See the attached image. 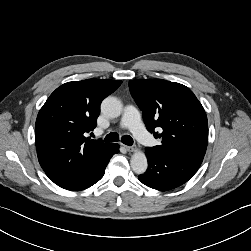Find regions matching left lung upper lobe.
<instances>
[{"label": "left lung upper lobe", "mask_w": 251, "mask_h": 251, "mask_svg": "<svg viewBox=\"0 0 251 251\" xmlns=\"http://www.w3.org/2000/svg\"><path fill=\"white\" fill-rule=\"evenodd\" d=\"M129 89L142 110L147 130L161 145L146 151L203 161L208 144L207 116L186 86L163 79L130 80ZM160 127L161 133L155 132Z\"/></svg>", "instance_id": "left-lung-upper-lobe-1"}]
</instances>
